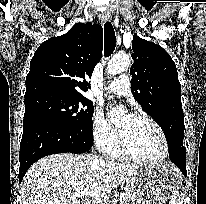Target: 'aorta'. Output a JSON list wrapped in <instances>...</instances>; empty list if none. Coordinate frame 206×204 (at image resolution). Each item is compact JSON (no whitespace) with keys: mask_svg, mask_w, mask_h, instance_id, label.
Returning <instances> with one entry per match:
<instances>
[{"mask_svg":"<svg viewBox=\"0 0 206 204\" xmlns=\"http://www.w3.org/2000/svg\"><path fill=\"white\" fill-rule=\"evenodd\" d=\"M130 65V58L126 54H116L111 58L107 64V72L110 75H115L117 73L125 71ZM126 111L123 108L114 109V118L120 119L125 115Z\"/></svg>","mask_w":206,"mask_h":204,"instance_id":"aorta-1","label":"aorta"}]
</instances>
